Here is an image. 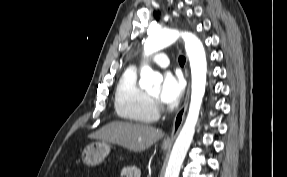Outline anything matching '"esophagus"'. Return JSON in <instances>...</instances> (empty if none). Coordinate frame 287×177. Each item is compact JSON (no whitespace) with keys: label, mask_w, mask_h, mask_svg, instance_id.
I'll list each match as a JSON object with an SVG mask.
<instances>
[{"label":"esophagus","mask_w":287,"mask_h":177,"mask_svg":"<svg viewBox=\"0 0 287 177\" xmlns=\"http://www.w3.org/2000/svg\"><path fill=\"white\" fill-rule=\"evenodd\" d=\"M189 94H190V82L188 83L187 93H186V98H185L184 104L182 105L180 110L175 115L172 132H171L170 136H168L163 141L164 146L172 145L173 141L175 140V138H176L181 126H182V123H183L184 117H185V113H186V110L188 107Z\"/></svg>","instance_id":"1"}]
</instances>
